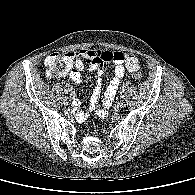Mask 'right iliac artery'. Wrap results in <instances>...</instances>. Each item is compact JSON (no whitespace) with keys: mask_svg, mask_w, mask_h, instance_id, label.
Masks as SVG:
<instances>
[{"mask_svg":"<svg viewBox=\"0 0 195 195\" xmlns=\"http://www.w3.org/2000/svg\"><path fill=\"white\" fill-rule=\"evenodd\" d=\"M64 92H65V94H68L69 91L68 90H65Z\"/></svg>","mask_w":195,"mask_h":195,"instance_id":"right-iliac-artery-1","label":"right iliac artery"}]
</instances>
